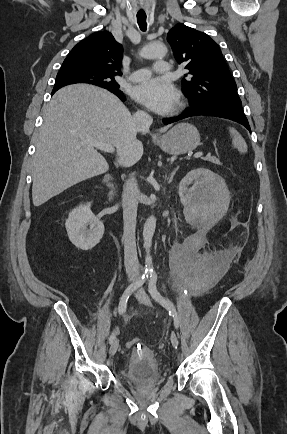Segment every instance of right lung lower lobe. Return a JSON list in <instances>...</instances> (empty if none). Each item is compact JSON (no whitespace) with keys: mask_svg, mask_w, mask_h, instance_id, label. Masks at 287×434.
<instances>
[{"mask_svg":"<svg viewBox=\"0 0 287 434\" xmlns=\"http://www.w3.org/2000/svg\"><path fill=\"white\" fill-rule=\"evenodd\" d=\"M55 92H53L52 93V95L54 94ZM114 93V92H113ZM116 96H118L122 101H125L126 100V97L124 96V94L122 93V92H116V93H114Z\"/></svg>","mask_w":287,"mask_h":434,"instance_id":"right-lung-lower-lobe-1","label":"right lung lower lobe"}]
</instances>
